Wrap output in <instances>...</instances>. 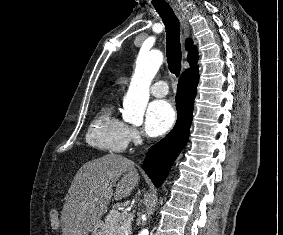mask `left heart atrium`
<instances>
[{
	"instance_id": "obj_1",
	"label": "left heart atrium",
	"mask_w": 283,
	"mask_h": 235,
	"mask_svg": "<svg viewBox=\"0 0 283 235\" xmlns=\"http://www.w3.org/2000/svg\"><path fill=\"white\" fill-rule=\"evenodd\" d=\"M175 118V111L169 102L165 100L153 101L148 106L145 115L146 132L150 136H160L170 130Z\"/></svg>"
}]
</instances>
